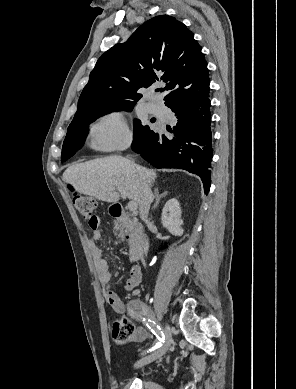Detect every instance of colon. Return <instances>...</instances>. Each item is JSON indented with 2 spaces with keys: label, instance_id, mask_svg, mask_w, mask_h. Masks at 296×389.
<instances>
[{
  "label": "colon",
  "instance_id": "colon-1",
  "mask_svg": "<svg viewBox=\"0 0 296 389\" xmlns=\"http://www.w3.org/2000/svg\"><path fill=\"white\" fill-rule=\"evenodd\" d=\"M73 203L80 216L89 221L90 226L94 225L97 221L95 215L96 201L88 196L75 194L73 197ZM133 326L126 321H115L112 325V337L120 343H124L133 335Z\"/></svg>",
  "mask_w": 296,
  "mask_h": 389
}]
</instances>
